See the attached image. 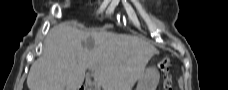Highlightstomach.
Listing matches in <instances>:
<instances>
[{"label":"stomach","mask_w":228,"mask_h":90,"mask_svg":"<svg viewBox=\"0 0 228 90\" xmlns=\"http://www.w3.org/2000/svg\"><path fill=\"white\" fill-rule=\"evenodd\" d=\"M158 80V70L155 67H148L139 78L136 90H154Z\"/></svg>","instance_id":"obj_1"}]
</instances>
